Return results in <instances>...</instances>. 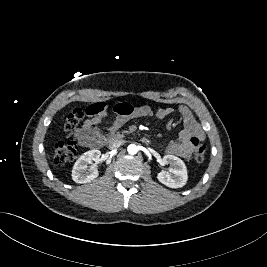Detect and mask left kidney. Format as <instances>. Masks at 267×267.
<instances>
[{"mask_svg":"<svg viewBox=\"0 0 267 267\" xmlns=\"http://www.w3.org/2000/svg\"><path fill=\"white\" fill-rule=\"evenodd\" d=\"M162 164L170 165V173L162 170L157 174V179L170 188L183 187L188 179L187 168L185 163L174 155H165Z\"/></svg>","mask_w":267,"mask_h":267,"instance_id":"obj_1","label":"left kidney"}]
</instances>
